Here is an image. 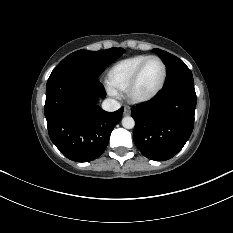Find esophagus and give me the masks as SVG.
<instances>
[{"label": "esophagus", "instance_id": "esophagus-1", "mask_svg": "<svg viewBox=\"0 0 233 233\" xmlns=\"http://www.w3.org/2000/svg\"><path fill=\"white\" fill-rule=\"evenodd\" d=\"M130 113H131V109H130L129 107L125 106V107H124V112H123V114H124L125 116H127V115H130Z\"/></svg>", "mask_w": 233, "mask_h": 233}]
</instances>
